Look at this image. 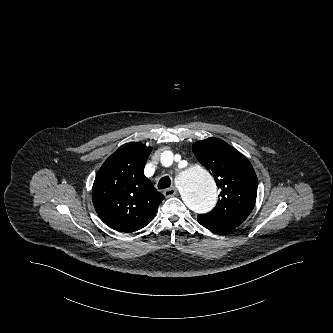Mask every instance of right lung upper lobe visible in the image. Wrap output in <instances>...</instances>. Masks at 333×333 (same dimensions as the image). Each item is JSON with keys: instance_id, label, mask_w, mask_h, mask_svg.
<instances>
[{"instance_id": "cb5924a9", "label": "right lung upper lobe", "mask_w": 333, "mask_h": 333, "mask_svg": "<svg viewBox=\"0 0 333 333\" xmlns=\"http://www.w3.org/2000/svg\"><path fill=\"white\" fill-rule=\"evenodd\" d=\"M152 148L141 143L119 147L97 172L92 189L95 210L109 227L134 232L150 223L164 196L144 175Z\"/></svg>"}]
</instances>
